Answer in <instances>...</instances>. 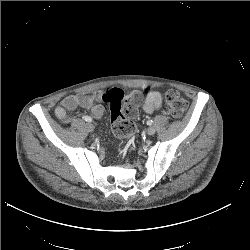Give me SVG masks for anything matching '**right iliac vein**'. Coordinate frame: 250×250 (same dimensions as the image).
<instances>
[{
  "instance_id": "1",
  "label": "right iliac vein",
  "mask_w": 250,
  "mask_h": 250,
  "mask_svg": "<svg viewBox=\"0 0 250 250\" xmlns=\"http://www.w3.org/2000/svg\"><path fill=\"white\" fill-rule=\"evenodd\" d=\"M86 127L88 129L89 132H93L94 131V126L91 123H87Z\"/></svg>"
}]
</instances>
